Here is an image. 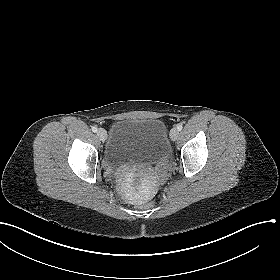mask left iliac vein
<instances>
[{"label": "left iliac vein", "instance_id": "left-iliac-vein-1", "mask_svg": "<svg viewBox=\"0 0 280 280\" xmlns=\"http://www.w3.org/2000/svg\"><path fill=\"white\" fill-rule=\"evenodd\" d=\"M179 136V130L177 128H172L170 131V138L172 141L177 140Z\"/></svg>", "mask_w": 280, "mask_h": 280}]
</instances>
